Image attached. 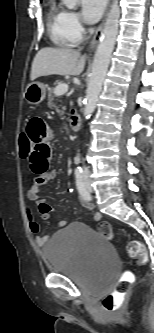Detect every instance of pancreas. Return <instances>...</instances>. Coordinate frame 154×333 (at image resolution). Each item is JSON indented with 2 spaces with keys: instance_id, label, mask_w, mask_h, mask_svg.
<instances>
[{
  "instance_id": "1",
  "label": "pancreas",
  "mask_w": 154,
  "mask_h": 333,
  "mask_svg": "<svg viewBox=\"0 0 154 333\" xmlns=\"http://www.w3.org/2000/svg\"><path fill=\"white\" fill-rule=\"evenodd\" d=\"M55 84H61L59 81H56ZM53 100H54V89L53 88H48V106L50 108L54 107L53 105Z\"/></svg>"
}]
</instances>
